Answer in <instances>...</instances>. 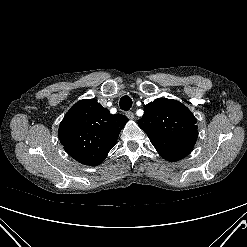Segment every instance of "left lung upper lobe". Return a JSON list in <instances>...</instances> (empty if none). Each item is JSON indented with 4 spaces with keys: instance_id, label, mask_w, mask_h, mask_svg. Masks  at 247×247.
Wrapping results in <instances>:
<instances>
[{
    "instance_id": "1",
    "label": "left lung upper lobe",
    "mask_w": 247,
    "mask_h": 247,
    "mask_svg": "<svg viewBox=\"0 0 247 247\" xmlns=\"http://www.w3.org/2000/svg\"><path fill=\"white\" fill-rule=\"evenodd\" d=\"M138 125L147 133L158 153L171 162L190 154L198 137L192 112L172 99L158 98L147 104Z\"/></svg>"
}]
</instances>
